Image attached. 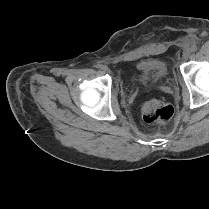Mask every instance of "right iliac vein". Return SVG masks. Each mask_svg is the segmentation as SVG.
Segmentation results:
<instances>
[{"instance_id": "1", "label": "right iliac vein", "mask_w": 209, "mask_h": 209, "mask_svg": "<svg viewBox=\"0 0 209 209\" xmlns=\"http://www.w3.org/2000/svg\"><path fill=\"white\" fill-rule=\"evenodd\" d=\"M102 69H103V71H105V72H108V73L110 72V70H109V68H108L107 66H103Z\"/></svg>"}]
</instances>
